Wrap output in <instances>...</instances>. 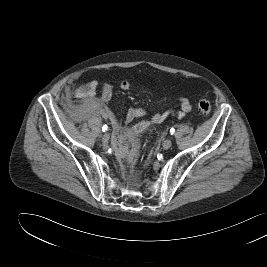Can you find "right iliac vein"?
<instances>
[{
    "mask_svg": "<svg viewBox=\"0 0 267 267\" xmlns=\"http://www.w3.org/2000/svg\"><path fill=\"white\" fill-rule=\"evenodd\" d=\"M108 141H109V133H108V132H105V133L103 134V136H102V142H103L104 144H107Z\"/></svg>",
    "mask_w": 267,
    "mask_h": 267,
    "instance_id": "right-iliac-vein-1",
    "label": "right iliac vein"
}]
</instances>
